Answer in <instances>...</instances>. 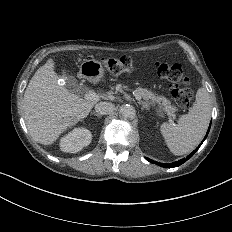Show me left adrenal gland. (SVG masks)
<instances>
[{"mask_svg": "<svg viewBox=\"0 0 232 232\" xmlns=\"http://www.w3.org/2000/svg\"><path fill=\"white\" fill-rule=\"evenodd\" d=\"M139 104H142L143 108H146L145 102L140 101Z\"/></svg>", "mask_w": 232, "mask_h": 232, "instance_id": "a2214340", "label": "left adrenal gland"}]
</instances>
